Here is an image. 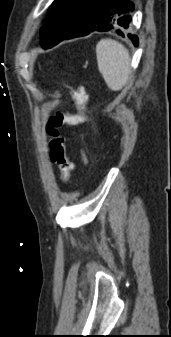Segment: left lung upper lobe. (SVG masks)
Instances as JSON below:
<instances>
[{"label": "left lung upper lobe", "mask_w": 171, "mask_h": 337, "mask_svg": "<svg viewBox=\"0 0 171 337\" xmlns=\"http://www.w3.org/2000/svg\"><path fill=\"white\" fill-rule=\"evenodd\" d=\"M85 0H55L40 30L44 49L58 44L75 26Z\"/></svg>", "instance_id": "obj_1"}]
</instances>
